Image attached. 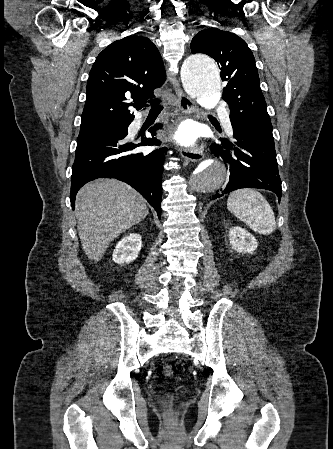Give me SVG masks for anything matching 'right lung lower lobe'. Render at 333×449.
<instances>
[{"label": "right lung lower lobe", "mask_w": 333, "mask_h": 449, "mask_svg": "<svg viewBox=\"0 0 333 449\" xmlns=\"http://www.w3.org/2000/svg\"><path fill=\"white\" fill-rule=\"evenodd\" d=\"M92 133L79 134L75 161L71 176V206L75 208V196L87 182L96 178H116L135 188L161 217L162 172L164 154L155 150L149 154L134 151L139 146L160 145L153 137L161 124L149 129L152 138H141L133 143L127 138L128 126Z\"/></svg>", "instance_id": "98d812e1"}]
</instances>
